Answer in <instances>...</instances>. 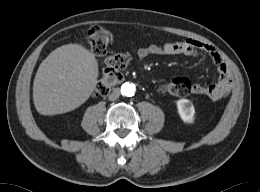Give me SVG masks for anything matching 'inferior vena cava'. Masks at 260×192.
<instances>
[{"label":"inferior vena cava","instance_id":"inferior-vena-cava-1","mask_svg":"<svg viewBox=\"0 0 260 192\" xmlns=\"http://www.w3.org/2000/svg\"><path fill=\"white\" fill-rule=\"evenodd\" d=\"M120 96V92L117 89H114L113 92L109 95L108 99L110 101H115L116 99H118Z\"/></svg>","mask_w":260,"mask_h":192}]
</instances>
